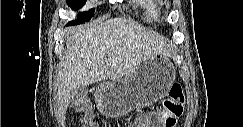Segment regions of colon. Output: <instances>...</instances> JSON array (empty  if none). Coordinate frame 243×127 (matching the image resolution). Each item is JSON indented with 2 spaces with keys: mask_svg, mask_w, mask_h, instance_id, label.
Here are the masks:
<instances>
[{
  "mask_svg": "<svg viewBox=\"0 0 243 127\" xmlns=\"http://www.w3.org/2000/svg\"><path fill=\"white\" fill-rule=\"evenodd\" d=\"M185 102L181 85L173 84L170 87L168 97L163 101L162 106L149 116L141 118L134 127H174L177 118L182 114ZM75 113L77 121L84 127L99 126L92 118L91 108L85 96L76 97L70 105Z\"/></svg>",
  "mask_w": 243,
  "mask_h": 127,
  "instance_id": "obj_1",
  "label": "colon"
}]
</instances>
